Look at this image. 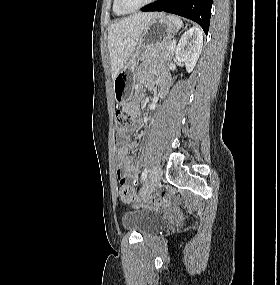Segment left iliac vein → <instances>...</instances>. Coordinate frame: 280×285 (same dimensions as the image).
<instances>
[{
    "label": "left iliac vein",
    "instance_id": "obj_1",
    "mask_svg": "<svg viewBox=\"0 0 280 285\" xmlns=\"http://www.w3.org/2000/svg\"><path fill=\"white\" fill-rule=\"evenodd\" d=\"M161 178H162V169L161 166L157 164L150 172L148 181L143 191L144 195L153 192L158 187Z\"/></svg>",
    "mask_w": 280,
    "mask_h": 285
}]
</instances>
